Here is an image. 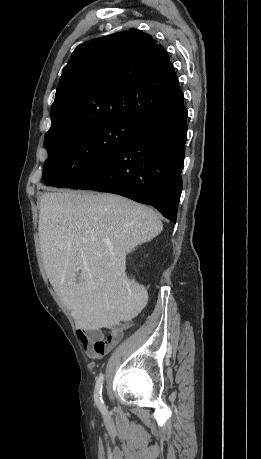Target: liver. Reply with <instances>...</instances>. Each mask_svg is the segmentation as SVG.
I'll return each instance as SVG.
<instances>
[{
	"mask_svg": "<svg viewBox=\"0 0 261 459\" xmlns=\"http://www.w3.org/2000/svg\"><path fill=\"white\" fill-rule=\"evenodd\" d=\"M162 229L152 208L116 194H43L38 226L43 264L79 328L98 330L131 317L138 289L126 276V255Z\"/></svg>",
	"mask_w": 261,
	"mask_h": 459,
	"instance_id": "obj_1",
	"label": "liver"
}]
</instances>
